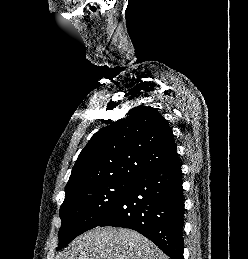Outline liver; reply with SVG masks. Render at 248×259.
<instances>
[{
  "label": "liver",
  "mask_w": 248,
  "mask_h": 259,
  "mask_svg": "<svg viewBox=\"0 0 248 259\" xmlns=\"http://www.w3.org/2000/svg\"><path fill=\"white\" fill-rule=\"evenodd\" d=\"M59 259H169L154 243L126 228L97 227L77 237Z\"/></svg>",
  "instance_id": "6515ba94"
}]
</instances>
